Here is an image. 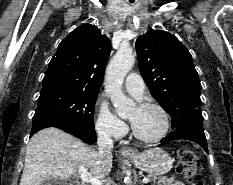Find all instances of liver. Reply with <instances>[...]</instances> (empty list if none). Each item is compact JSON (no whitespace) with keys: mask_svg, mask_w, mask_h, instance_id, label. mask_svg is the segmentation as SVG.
<instances>
[{"mask_svg":"<svg viewBox=\"0 0 233 185\" xmlns=\"http://www.w3.org/2000/svg\"><path fill=\"white\" fill-rule=\"evenodd\" d=\"M112 158V153L101 155L58 128H45L34 134L27 145L20 185H42L51 178L67 180L80 167L103 180L111 171Z\"/></svg>","mask_w":233,"mask_h":185,"instance_id":"1","label":"liver"}]
</instances>
